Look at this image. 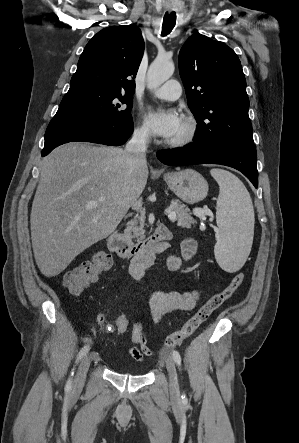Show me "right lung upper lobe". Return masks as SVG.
Returning <instances> with one entry per match:
<instances>
[{
  "label": "right lung upper lobe",
  "mask_w": 299,
  "mask_h": 443,
  "mask_svg": "<svg viewBox=\"0 0 299 443\" xmlns=\"http://www.w3.org/2000/svg\"><path fill=\"white\" fill-rule=\"evenodd\" d=\"M144 52L140 30L110 26L91 38L81 54L70 88H100L132 94Z\"/></svg>",
  "instance_id": "obj_1"
}]
</instances>
